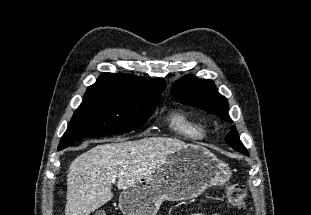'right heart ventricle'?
<instances>
[{
	"label": "right heart ventricle",
	"instance_id": "1",
	"mask_svg": "<svg viewBox=\"0 0 311 215\" xmlns=\"http://www.w3.org/2000/svg\"><path fill=\"white\" fill-rule=\"evenodd\" d=\"M168 123L174 132L185 138L199 140L206 134L203 122L182 110L171 113Z\"/></svg>",
	"mask_w": 311,
	"mask_h": 215
}]
</instances>
